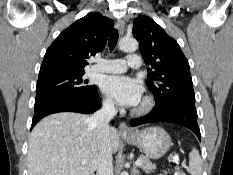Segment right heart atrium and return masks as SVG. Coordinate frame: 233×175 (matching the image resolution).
Wrapping results in <instances>:
<instances>
[{"mask_svg": "<svg viewBox=\"0 0 233 175\" xmlns=\"http://www.w3.org/2000/svg\"><path fill=\"white\" fill-rule=\"evenodd\" d=\"M102 105L105 109L107 110H114L115 108V104H114V101L110 98V97H105L103 100H102Z\"/></svg>", "mask_w": 233, "mask_h": 175, "instance_id": "d8ad5b80", "label": "right heart atrium"}]
</instances>
